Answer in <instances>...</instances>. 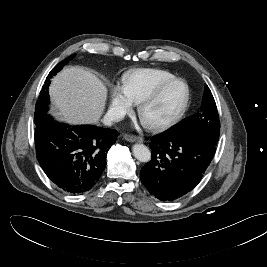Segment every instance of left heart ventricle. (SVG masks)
Listing matches in <instances>:
<instances>
[{
    "label": "left heart ventricle",
    "instance_id": "obj_1",
    "mask_svg": "<svg viewBox=\"0 0 267 267\" xmlns=\"http://www.w3.org/2000/svg\"><path fill=\"white\" fill-rule=\"evenodd\" d=\"M185 98V88L177 85L168 90L156 103L145 110L144 117L148 121L164 119L178 110Z\"/></svg>",
    "mask_w": 267,
    "mask_h": 267
}]
</instances>
